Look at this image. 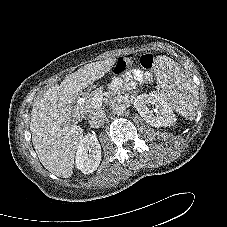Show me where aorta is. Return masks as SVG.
<instances>
[{"mask_svg": "<svg viewBox=\"0 0 227 227\" xmlns=\"http://www.w3.org/2000/svg\"><path fill=\"white\" fill-rule=\"evenodd\" d=\"M125 110V106L122 103H114L112 105V112L117 115H121Z\"/></svg>", "mask_w": 227, "mask_h": 227, "instance_id": "762f6f07", "label": "aorta"}]
</instances>
